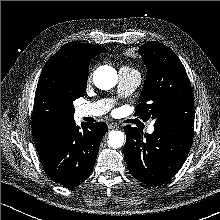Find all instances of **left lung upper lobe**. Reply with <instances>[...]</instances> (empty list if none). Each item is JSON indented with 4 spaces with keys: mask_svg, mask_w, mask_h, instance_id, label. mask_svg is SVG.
I'll return each instance as SVG.
<instances>
[{
    "mask_svg": "<svg viewBox=\"0 0 220 220\" xmlns=\"http://www.w3.org/2000/svg\"><path fill=\"white\" fill-rule=\"evenodd\" d=\"M138 53L147 77L136 106V115L154 125L169 121L194 127L193 92L186 70L170 48L157 41L143 44Z\"/></svg>",
    "mask_w": 220,
    "mask_h": 220,
    "instance_id": "obj_1",
    "label": "left lung upper lobe"
}]
</instances>
